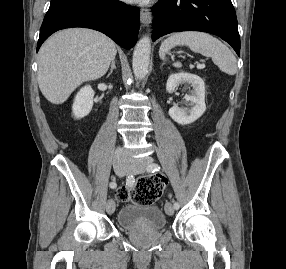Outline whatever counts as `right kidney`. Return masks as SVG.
Here are the masks:
<instances>
[{
    "label": "right kidney",
    "instance_id": "ca27d5eb",
    "mask_svg": "<svg viewBox=\"0 0 286 269\" xmlns=\"http://www.w3.org/2000/svg\"><path fill=\"white\" fill-rule=\"evenodd\" d=\"M94 91L90 85H86L80 89L74 99L73 115L80 119L87 116L93 107Z\"/></svg>",
    "mask_w": 286,
    "mask_h": 269
}]
</instances>
